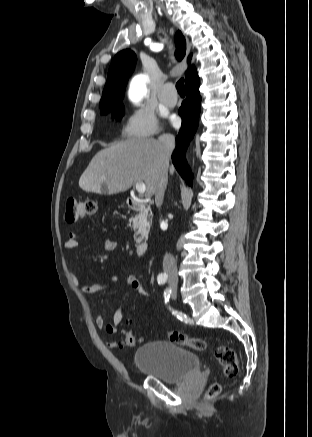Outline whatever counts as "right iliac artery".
Returning a JSON list of instances; mask_svg holds the SVG:
<instances>
[{
  "instance_id": "82829eb1",
  "label": "right iliac artery",
  "mask_w": 312,
  "mask_h": 437,
  "mask_svg": "<svg viewBox=\"0 0 312 437\" xmlns=\"http://www.w3.org/2000/svg\"><path fill=\"white\" fill-rule=\"evenodd\" d=\"M168 276L167 274H159L157 277V281L159 285H164L167 282ZM174 314V312H173Z\"/></svg>"
}]
</instances>
